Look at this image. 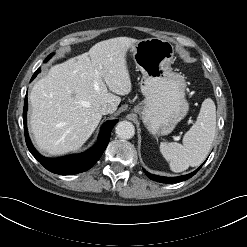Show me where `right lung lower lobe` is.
I'll return each instance as SVG.
<instances>
[{"label": "right lung lower lobe", "mask_w": 247, "mask_h": 247, "mask_svg": "<svg viewBox=\"0 0 247 247\" xmlns=\"http://www.w3.org/2000/svg\"><path fill=\"white\" fill-rule=\"evenodd\" d=\"M37 74L34 73L32 76L33 80ZM27 96L25 97L24 108H23V122L25 130V140L27 147L31 154L49 171L61 174V175H71L84 172L99 160L103 152L105 151L108 142L110 140V133L118 120H113L106 122L100 132V137L97 144L88 150L87 152L79 155H70L60 158H46L40 155L36 149L33 147L31 140L28 136V130L26 125V113H27Z\"/></svg>", "instance_id": "1"}]
</instances>
